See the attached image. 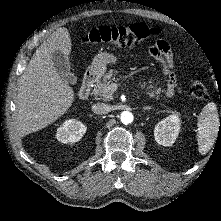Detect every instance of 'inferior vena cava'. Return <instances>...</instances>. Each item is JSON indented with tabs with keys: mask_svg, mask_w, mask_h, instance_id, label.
<instances>
[{
	"mask_svg": "<svg viewBox=\"0 0 221 221\" xmlns=\"http://www.w3.org/2000/svg\"><path fill=\"white\" fill-rule=\"evenodd\" d=\"M92 111L95 114L103 115L111 111V107L105 103H97L92 105Z\"/></svg>",
	"mask_w": 221,
	"mask_h": 221,
	"instance_id": "inferior-vena-cava-1",
	"label": "inferior vena cava"
}]
</instances>
